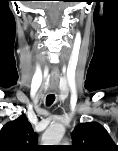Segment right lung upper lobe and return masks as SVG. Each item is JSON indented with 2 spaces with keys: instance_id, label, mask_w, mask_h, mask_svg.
I'll use <instances>...</instances> for the list:
<instances>
[{
  "instance_id": "right-lung-upper-lobe-1",
  "label": "right lung upper lobe",
  "mask_w": 118,
  "mask_h": 151,
  "mask_svg": "<svg viewBox=\"0 0 118 151\" xmlns=\"http://www.w3.org/2000/svg\"><path fill=\"white\" fill-rule=\"evenodd\" d=\"M37 149V135L23 115L8 122L1 129L0 151H34Z\"/></svg>"
}]
</instances>
